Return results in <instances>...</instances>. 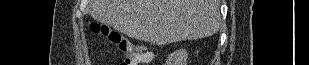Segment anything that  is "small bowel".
<instances>
[{
    "label": "small bowel",
    "instance_id": "obj_1",
    "mask_svg": "<svg viewBox=\"0 0 309 65\" xmlns=\"http://www.w3.org/2000/svg\"><path fill=\"white\" fill-rule=\"evenodd\" d=\"M150 59V54L148 53L147 57H146V61L147 62L148 60Z\"/></svg>",
    "mask_w": 309,
    "mask_h": 65
}]
</instances>
